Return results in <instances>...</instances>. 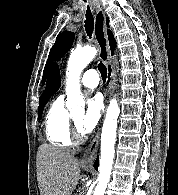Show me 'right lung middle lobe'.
Returning a JSON list of instances; mask_svg holds the SVG:
<instances>
[{"instance_id": "right-lung-middle-lobe-1", "label": "right lung middle lobe", "mask_w": 178, "mask_h": 195, "mask_svg": "<svg viewBox=\"0 0 178 195\" xmlns=\"http://www.w3.org/2000/svg\"><path fill=\"white\" fill-rule=\"evenodd\" d=\"M44 106H45V104L40 105V106L38 107V118H39V119L42 118V113H43Z\"/></svg>"}]
</instances>
